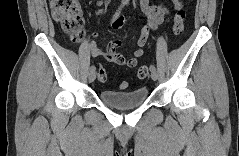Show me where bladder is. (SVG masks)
<instances>
[{
    "label": "bladder",
    "instance_id": "31cf9c89",
    "mask_svg": "<svg viewBox=\"0 0 239 156\" xmlns=\"http://www.w3.org/2000/svg\"><path fill=\"white\" fill-rule=\"evenodd\" d=\"M149 96L146 87H139L129 92H120L103 89L99 93L100 100L107 106L116 110H130L142 105Z\"/></svg>",
    "mask_w": 239,
    "mask_h": 156
}]
</instances>
